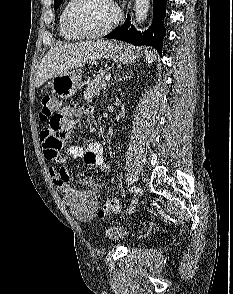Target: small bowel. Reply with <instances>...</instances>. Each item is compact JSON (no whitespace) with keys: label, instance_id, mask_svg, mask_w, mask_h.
<instances>
[{"label":"small bowel","instance_id":"small-bowel-1","mask_svg":"<svg viewBox=\"0 0 233 294\" xmlns=\"http://www.w3.org/2000/svg\"><path fill=\"white\" fill-rule=\"evenodd\" d=\"M92 113L91 103L63 104L61 110H52V115L56 117H48L49 126H44L40 134L45 157L50 161L52 181L72 215L82 222L95 218L100 186L92 178L71 184V178L66 171L68 160L83 158L87 165L98 168L105 175L110 174V167L104 160L100 142L90 141L85 145L67 144L68 137L73 134L72 127L78 126V122H85V117H90Z\"/></svg>","mask_w":233,"mask_h":294}]
</instances>
